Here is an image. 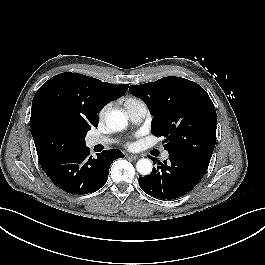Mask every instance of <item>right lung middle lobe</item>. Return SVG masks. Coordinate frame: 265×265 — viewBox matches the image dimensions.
<instances>
[{
  "mask_svg": "<svg viewBox=\"0 0 265 265\" xmlns=\"http://www.w3.org/2000/svg\"><path fill=\"white\" fill-rule=\"evenodd\" d=\"M90 129L72 124L51 110L37 113L30 121L39 160L86 146Z\"/></svg>",
  "mask_w": 265,
  "mask_h": 265,
  "instance_id": "dd1d6c3e",
  "label": "right lung middle lobe"
}]
</instances>
